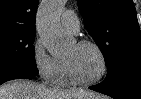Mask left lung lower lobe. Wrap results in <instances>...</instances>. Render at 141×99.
I'll list each match as a JSON object with an SVG mask.
<instances>
[{
	"mask_svg": "<svg viewBox=\"0 0 141 99\" xmlns=\"http://www.w3.org/2000/svg\"><path fill=\"white\" fill-rule=\"evenodd\" d=\"M90 89L114 99H141V68L123 70Z\"/></svg>",
	"mask_w": 141,
	"mask_h": 99,
	"instance_id": "1",
	"label": "left lung lower lobe"
}]
</instances>
